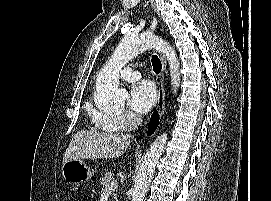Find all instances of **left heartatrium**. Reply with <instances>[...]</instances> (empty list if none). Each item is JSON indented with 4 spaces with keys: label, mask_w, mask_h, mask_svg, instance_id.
Returning a JSON list of instances; mask_svg holds the SVG:
<instances>
[{
    "label": "left heart atrium",
    "mask_w": 271,
    "mask_h": 201,
    "mask_svg": "<svg viewBox=\"0 0 271 201\" xmlns=\"http://www.w3.org/2000/svg\"><path fill=\"white\" fill-rule=\"evenodd\" d=\"M156 101V89L151 83L141 82L132 87L129 105L133 110L139 113H147L155 105Z\"/></svg>",
    "instance_id": "left-heart-atrium-1"
}]
</instances>
